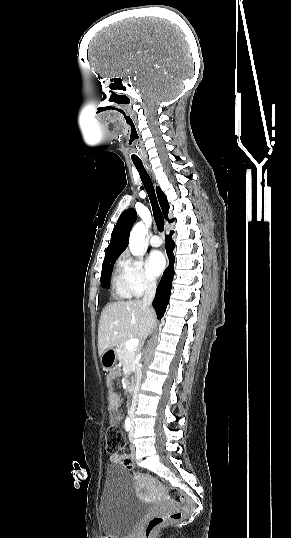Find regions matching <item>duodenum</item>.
Wrapping results in <instances>:
<instances>
[{"label": "duodenum", "instance_id": "obj_1", "mask_svg": "<svg viewBox=\"0 0 291 538\" xmlns=\"http://www.w3.org/2000/svg\"><path fill=\"white\" fill-rule=\"evenodd\" d=\"M110 355H111L112 357H114V352L111 351V352H110ZM123 377L125 378V380H124L123 383H122L123 388L126 389V390H130V391H131L132 389H134L135 386H136V383H135L134 380H132V378L130 377V374H129L128 372H125V373L123 374ZM130 391H127V394H130Z\"/></svg>", "mask_w": 291, "mask_h": 538}]
</instances>
